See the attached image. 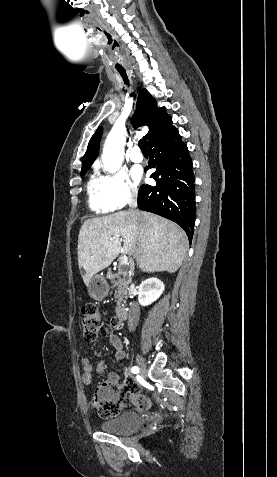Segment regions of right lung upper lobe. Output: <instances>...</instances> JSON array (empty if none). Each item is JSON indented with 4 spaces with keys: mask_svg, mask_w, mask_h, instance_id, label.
<instances>
[{
    "mask_svg": "<svg viewBox=\"0 0 277 477\" xmlns=\"http://www.w3.org/2000/svg\"><path fill=\"white\" fill-rule=\"evenodd\" d=\"M133 124L135 127L144 125L149 127V132L145 135L148 146L165 137L174 128L171 117L165 112V107L157 108L155 99L146 89H143L138 96ZM102 131V127H99L91 137L82 159V170L89 169L96 159Z\"/></svg>",
    "mask_w": 277,
    "mask_h": 477,
    "instance_id": "right-lung-upper-lobe-1",
    "label": "right lung upper lobe"
}]
</instances>
